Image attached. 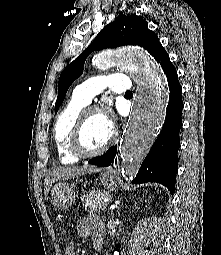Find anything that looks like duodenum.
I'll return each instance as SVG.
<instances>
[{
    "label": "duodenum",
    "instance_id": "410a0bca",
    "mask_svg": "<svg viewBox=\"0 0 221 255\" xmlns=\"http://www.w3.org/2000/svg\"><path fill=\"white\" fill-rule=\"evenodd\" d=\"M93 245H94L95 251L100 252L103 247V239L98 237L94 238Z\"/></svg>",
    "mask_w": 221,
    "mask_h": 255
}]
</instances>
